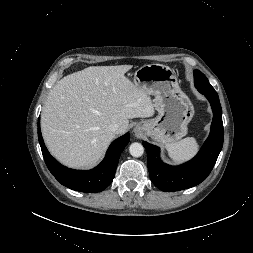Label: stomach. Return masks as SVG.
Listing matches in <instances>:
<instances>
[{
	"label": "stomach",
	"mask_w": 253,
	"mask_h": 253,
	"mask_svg": "<svg viewBox=\"0 0 253 253\" xmlns=\"http://www.w3.org/2000/svg\"><path fill=\"white\" fill-rule=\"evenodd\" d=\"M133 81L138 88L155 97L158 112L155 118L141 121L136 131L162 144L177 142L184 137L194 107L180 89L173 70L162 64L143 65L135 72Z\"/></svg>",
	"instance_id": "1"
}]
</instances>
